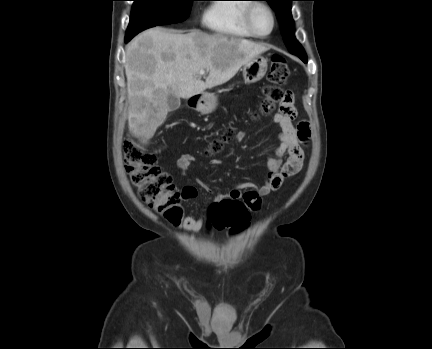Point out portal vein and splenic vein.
I'll list each match as a JSON object with an SVG mask.
<instances>
[{
    "mask_svg": "<svg viewBox=\"0 0 432 349\" xmlns=\"http://www.w3.org/2000/svg\"><path fill=\"white\" fill-rule=\"evenodd\" d=\"M205 74V71L204 70H201L200 72H199V75L200 76H203Z\"/></svg>",
    "mask_w": 432,
    "mask_h": 349,
    "instance_id": "obj_1",
    "label": "portal vein and splenic vein"
}]
</instances>
